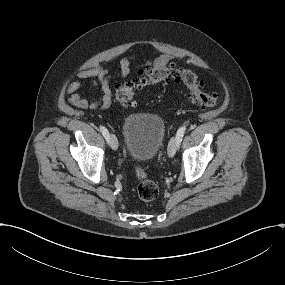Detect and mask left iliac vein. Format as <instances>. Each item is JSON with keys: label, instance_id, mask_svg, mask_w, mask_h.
<instances>
[{"label": "left iliac vein", "instance_id": "4c4485c4", "mask_svg": "<svg viewBox=\"0 0 285 285\" xmlns=\"http://www.w3.org/2000/svg\"><path fill=\"white\" fill-rule=\"evenodd\" d=\"M179 145V142L176 137L171 138L169 145H168V156L170 158L174 157L177 151V147Z\"/></svg>", "mask_w": 285, "mask_h": 285}]
</instances>
